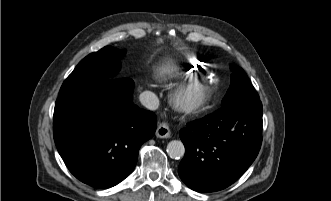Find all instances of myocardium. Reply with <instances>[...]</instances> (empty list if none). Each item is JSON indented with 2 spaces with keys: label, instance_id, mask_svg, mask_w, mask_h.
Returning a JSON list of instances; mask_svg holds the SVG:
<instances>
[{
  "label": "myocardium",
  "instance_id": "obj_1",
  "mask_svg": "<svg viewBox=\"0 0 331 201\" xmlns=\"http://www.w3.org/2000/svg\"><path fill=\"white\" fill-rule=\"evenodd\" d=\"M192 88H199L200 94L191 99L184 100L181 95L184 91ZM211 98V86L205 83H199L192 79L175 85L170 92V101L172 105L185 114H193L203 109Z\"/></svg>",
  "mask_w": 331,
  "mask_h": 201
}]
</instances>
